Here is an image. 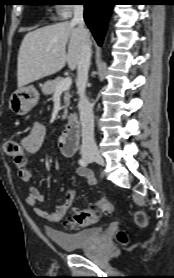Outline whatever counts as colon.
<instances>
[{"label": "colon", "mask_w": 174, "mask_h": 278, "mask_svg": "<svg viewBox=\"0 0 174 278\" xmlns=\"http://www.w3.org/2000/svg\"><path fill=\"white\" fill-rule=\"evenodd\" d=\"M3 150L8 156L14 158L23 155L21 145L11 140H7L3 143ZM112 209L113 205L110 201L105 199L99 200L83 209L73 211L66 223V226L71 230H75L91 225L97 222L103 214L110 213ZM134 218L138 226L143 227L147 223L146 214L142 211H137ZM117 238L121 243L127 242V236L123 231L118 233Z\"/></svg>", "instance_id": "5ec220e1"}]
</instances>
